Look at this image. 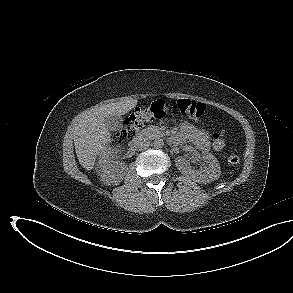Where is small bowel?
<instances>
[{"label":"small bowel","instance_id":"c3829d8e","mask_svg":"<svg viewBox=\"0 0 293 293\" xmlns=\"http://www.w3.org/2000/svg\"><path fill=\"white\" fill-rule=\"evenodd\" d=\"M176 139L178 141L188 139L202 151H207L211 147L208 133L189 122H184L181 125L180 133L177 135Z\"/></svg>","mask_w":293,"mask_h":293}]
</instances>
